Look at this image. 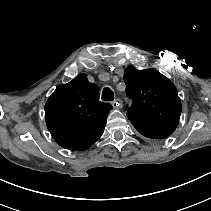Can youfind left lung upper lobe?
I'll return each instance as SVG.
<instances>
[{
  "label": "left lung upper lobe",
  "instance_id": "1",
  "mask_svg": "<svg viewBox=\"0 0 211 211\" xmlns=\"http://www.w3.org/2000/svg\"><path fill=\"white\" fill-rule=\"evenodd\" d=\"M126 93L132 99L127 117L137 131L150 140L170 136L181 115V100L175 85L154 69L137 70L133 66L124 72Z\"/></svg>",
  "mask_w": 211,
  "mask_h": 211
}]
</instances>
